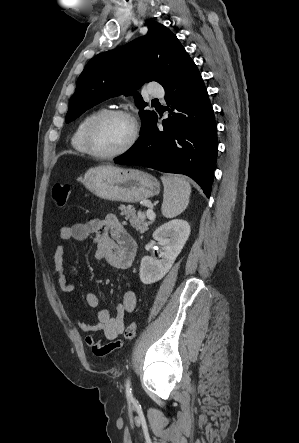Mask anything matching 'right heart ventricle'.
Masks as SVG:
<instances>
[{"label":"right heart ventricle","instance_id":"1","mask_svg":"<svg viewBox=\"0 0 299 443\" xmlns=\"http://www.w3.org/2000/svg\"><path fill=\"white\" fill-rule=\"evenodd\" d=\"M100 111L101 109H95L87 113L77 124L71 137V145L78 153L88 154L84 145V132L89 121Z\"/></svg>","mask_w":299,"mask_h":443}]
</instances>
